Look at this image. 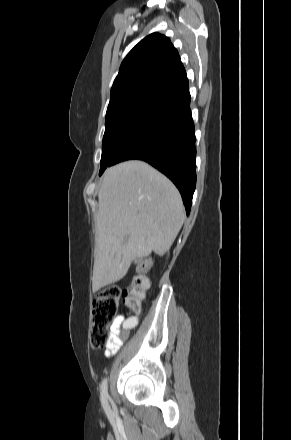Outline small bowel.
<instances>
[{
    "mask_svg": "<svg viewBox=\"0 0 291 440\" xmlns=\"http://www.w3.org/2000/svg\"><path fill=\"white\" fill-rule=\"evenodd\" d=\"M137 324L138 318L136 316L119 315L110 327V343L105 348V354L107 356L115 354L120 345V331L122 329L134 328Z\"/></svg>",
    "mask_w": 291,
    "mask_h": 440,
    "instance_id": "obj_1",
    "label": "small bowel"
}]
</instances>
